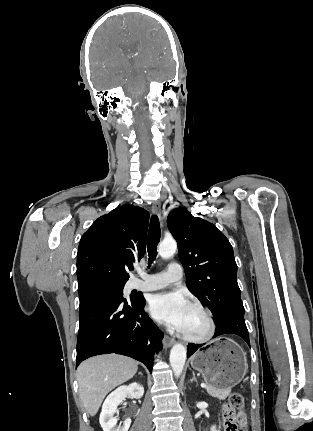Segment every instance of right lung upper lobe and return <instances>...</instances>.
I'll use <instances>...</instances> for the list:
<instances>
[{"label": "right lung upper lobe", "mask_w": 313, "mask_h": 431, "mask_svg": "<svg viewBox=\"0 0 313 431\" xmlns=\"http://www.w3.org/2000/svg\"><path fill=\"white\" fill-rule=\"evenodd\" d=\"M148 221L143 208L123 205L91 225L77 253L79 293L127 282L126 268L144 256Z\"/></svg>", "instance_id": "cb5924a9"}]
</instances>
